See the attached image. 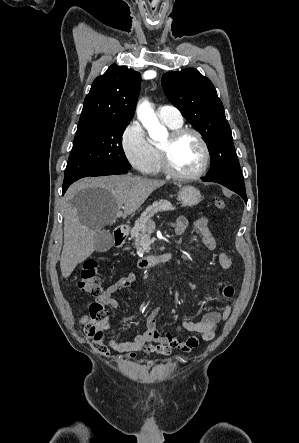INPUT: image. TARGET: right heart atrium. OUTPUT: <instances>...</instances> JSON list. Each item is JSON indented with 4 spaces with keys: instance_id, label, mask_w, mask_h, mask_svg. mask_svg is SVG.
<instances>
[{
    "instance_id": "right-heart-atrium-1",
    "label": "right heart atrium",
    "mask_w": 299,
    "mask_h": 443,
    "mask_svg": "<svg viewBox=\"0 0 299 443\" xmlns=\"http://www.w3.org/2000/svg\"><path fill=\"white\" fill-rule=\"evenodd\" d=\"M120 143L128 162L138 171L148 173L152 165L151 145L138 121L134 120L124 128Z\"/></svg>"
}]
</instances>
